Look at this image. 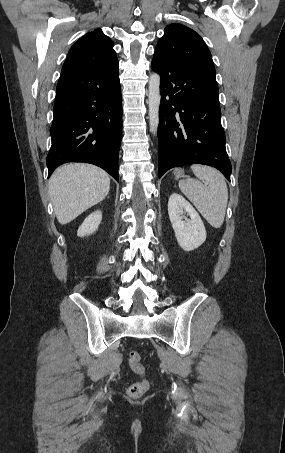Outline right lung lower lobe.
<instances>
[{"instance_id":"obj_1","label":"right lung lower lobe","mask_w":285,"mask_h":453,"mask_svg":"<svg viewBox=\"0 0 285 453\" xmlns=\"http://www.w3.org/2000/svg\"><path fill=\"white\" fill-rule=\"evenodd\" d=\"M50 129L48 177L61 164L97 165L119 181L122 101L118 68L106 72L62 71Z\"/></svg>"}]
</instances>
